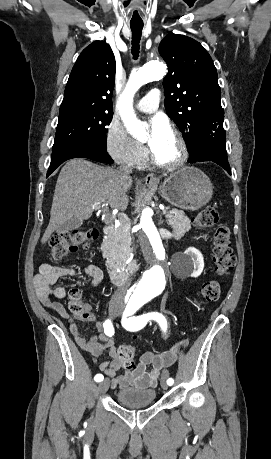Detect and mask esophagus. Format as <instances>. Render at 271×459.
<instances>
[{
  "label": "esophagus",
  "instance_id": "esophagus-1",
  "mask_svg": "<svg viewBox=\"0 0 271 459\" xmlns=\"http://www.w3.org/2000/svg\"><path fill=\"white\" fill-rule=\"evenodd\" d=\"M145 184L146 185H157L158 179L155 177L153 173H149L145 177Z\"/></svg>",
  "mask_w": 271,
  "mask_h": 459
}]
</instances>
